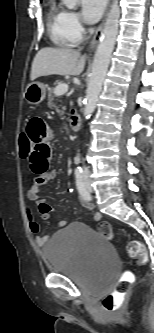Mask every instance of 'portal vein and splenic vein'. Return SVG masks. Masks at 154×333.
<instances>
[{"label": "portal vein and splenic vein", "instance_id": "portal-vein-and-splenic-vein-1", "mask_svg": "<svg viewBox=\"0 0 154 333\" xmlns=\"http://www.w3.org/2000/svg\"><path fill=\"white\" fill-rule=\"evenodd\" d=\"M68 88H69V86L66 83L59 84L54 89V94L57 95V96L63 95L68 91Z\"/></svg>", "mask_w": 154, "mask_h": 333}]
</instances>
